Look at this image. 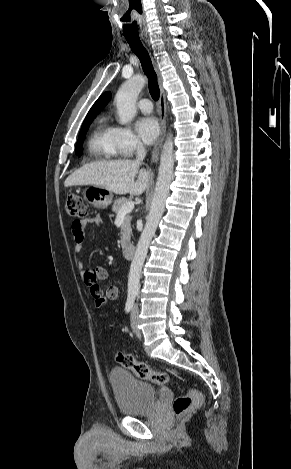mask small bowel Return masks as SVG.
Segmentation results:
<instances>
[{
  "mask_svg": "<svg viewBox=\"0 0 291 469\" xmlns=\"http://www.w3.org/2000/svg\"><path fill=\"white\" fill-rule=\"evenodd\" d=\"M101 223V218L99 216L92 217V218H87L83 220H75L71 224V231H72V237H73V243H74V251L76 253H81L82 251V245L85 239V234H86V227L89 224H100ZM78 269L82 270L83 269V263L78 262L77 264ZM107 270L104 267H96L95 269H92L90 271H86L84 273V281L86 285L88 286L90 293L92 297L94 298L95 296H104V300L107 302V300H115L118 298L119 295V290L116 286H110L107 291L106 295L103 294L102 289L99 285V281L104 280L107 278Z\"/></svg>",
  "mask_w": 291,
  "mask_h": 469,
  "instance_id": "small-bowel-1",
  "label": "small bowel"
}]
</instances>
